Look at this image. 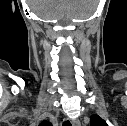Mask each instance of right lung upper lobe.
Masks as SVG:
<instances>
[{"label":"right lung upper lobe","instance_id":"obj_1","mask_svg":"<svg viewBox=\"0 0 127 126\" xmlns=\"http://www.w3.org/2000/svg\"><path fill=\"white\" fill-rule=\"evenodd\" d=\"M39 126H52V125L47 121H43V122L40 123Z\"/></svg>","mask_w":127,"mask_h":126}]
</instances>
